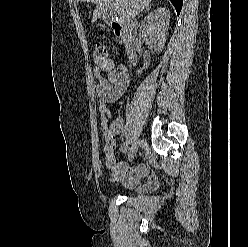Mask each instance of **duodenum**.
I'll list each match as a JSON object with an SVG mask.
<instances>
[{
  "mask_svg": "<svg viewBox=\"0 0 248 247\" xmlns=\"http://www.w3.org/2000/svg\"><path fill=\"white\" fill-rule=\"evenodd\" d=\"M105 21L117 30L121 37L130 63L136 61V48L138 45V23L133 20H116L111 14H105Z\"/></svg>",
  "mask_w": 248,
  "mask_h": 247,
  "instance_id": "obj_1",
  "label": "duodenum"
}]
</instances>
